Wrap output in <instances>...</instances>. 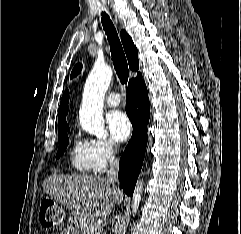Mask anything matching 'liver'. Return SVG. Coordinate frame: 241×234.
Segmentation results:
<instances>
[{
    "label": "liver",
    "mask_w": 241,
    "mask_h": 234,
    "mask_svg": "<svg viewBox=\"0 0 241 234\" xmlns=\"http://www.w3.org/2000/svg\"><path fill=\"white\" fill-rule=\"evenodd\" d=\"M43 188L49 196L88 220L94 210V216L108 215L122 199L121 192L99 176L52 175L44 180Z\"/></svg>",
    "instance_id": "obj_1"
}]
</instances>
